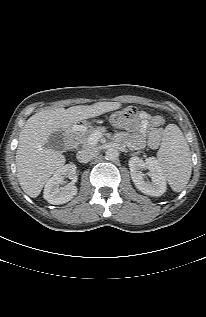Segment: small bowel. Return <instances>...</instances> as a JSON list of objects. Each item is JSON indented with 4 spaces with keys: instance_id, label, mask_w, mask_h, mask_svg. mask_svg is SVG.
Masks as SVG:
<instances>
[{
    "instance_id": "obj_1",
    "label": "small bowel",
    "mask_w": 206,
    "mask_h": 317,
    "mask_svg": "<svg viewBox=\"0 0 206 317\" xmlns=\"http://www.w3.org/2000/svg\"><path fill=\"white\" fill-rule=\"evenodd\" d=\"M165 120L161 116H151L148 113L141 111L139 113V123L135 131L131 135L120 134L119 139H126L129 146L133 148H142L147 139V143L151 148H157Z\"/></svg>"
}]
</instances>
